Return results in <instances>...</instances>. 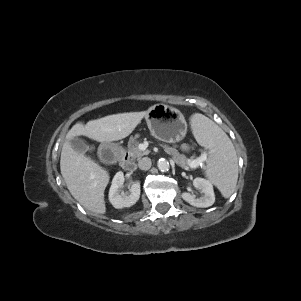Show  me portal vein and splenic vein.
<instances>
[{"instance_id": "obj_1", "label": "portal vein and splenic vein", "mask_w": 301, "mask_h": 301, "mask_svg": "<svg viewBox=\"0 0 301 301\" xmlns=\"http://www.w3.org/2000/svg\"><path fill=\"white\" fill-rule=\"evenodd\" d=\"M207 159V154L204 152L199 158L190 162L192 168H196L201 165Z\"/></svg>"}]
</instances>
